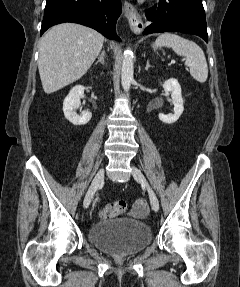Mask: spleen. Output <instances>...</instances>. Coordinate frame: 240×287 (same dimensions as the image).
Instances as JSON below:
<instances>
[{"label":"spleen","mask_w":240,"mask_h":287,"mask_svg":"<svg viewBox=\"0 0 240 287\" xmlns=\"http://www.w3.org/2000/svg\"><path fill=\"white\" fill-rule=\"evenodd\" d=\"M156 47H171L179 56H183L185 65L189 67L190 75L200 83L208 77V66L203 50L194 41L175 33H162L155 41Z\"/></svg>","instance_id":"obj_1"}]
</instances>
